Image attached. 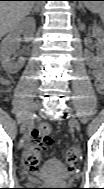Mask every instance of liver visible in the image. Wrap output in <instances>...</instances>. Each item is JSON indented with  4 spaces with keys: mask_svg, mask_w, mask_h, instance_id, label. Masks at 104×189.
Returning <instances> with one entry per match:
<instances>
[{
    "mask_svg": "<svg viewBox=\"0 0 104 189\" xmlns=\"http://www.w3.org/2000/svg\"><path fill=\"white\" fill-rule=\"evenodd\" d=\"M34 1H1L0 2V34L1 36L16 29L20 21L27 16Z\"/></svg>",
    "mask_w": 104,
    "mask_h": 189,
    "instance_id": "1",
    "label": "liver"
}]
</instances>
